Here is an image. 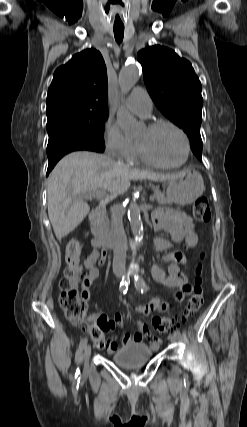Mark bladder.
Returning a JSON list of instances; mask_svg holds the SVG:
<instances>
[{
  "instance_id": "obj_1",
  "label": "bladder",
  "mask_w": 247,
  "mask_h": 427,
  "mask_svg": "<svg viewBox=\"0 0 247 427\" xmlns=\"http://www.w3.org/2000/svg\"><path fill=\"white\" fill-rule=\"evenodd\" d=\"M153 354V350L143 343H130L116 350L112 360L123 368L131 369L148 363Z\"/></svg>"
}]
</instances>
